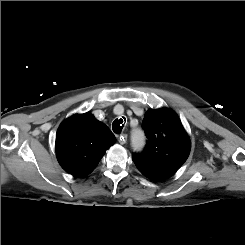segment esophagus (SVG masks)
Segmentation results:
<instances>
[{
    "label": "esophagus",
    "instance_id": "esophagus-1",
    "mask_svg": "<svg viewBox=\"0 0 245 245\" xmlns=\"http://www.w3.org/2000/svg\"><path fill=\"white\" fill-rule=\"evenodd\" d=\"M127 139H128V135L125 134V133H124V134H121V135L119 136V138H118L119 143H120L121 145L126 144Z\"/></svg>",
    "mask_w": 245,
    "mask_h": 245
}]
</instances>
